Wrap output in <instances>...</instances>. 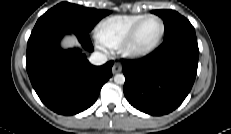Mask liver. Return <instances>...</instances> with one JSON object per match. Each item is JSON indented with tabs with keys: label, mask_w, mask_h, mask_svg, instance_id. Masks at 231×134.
<instances>
[{
	"label": "liver",
	"mask_w": 231,
	"mask_h": 134,
	"mask_svg": "<svg viewBox=\"0 0 231 134\" xmlns=\"http://www.w3.org/2000/svg\"><path fill=\"white\" fill-rule=\"evenodd\" d=\"M74 45H78V41L73 34L66 35L63 39V46L72 47Z\"/></svg>",
	"instance_id": "liver-1"
}]
</instances>
